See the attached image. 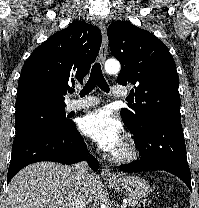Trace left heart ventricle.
<instances>
[{
	"instance_id": "1",
	"label": "left heart ventricle",
	"mask_w": 199,
	"mask_h": 208,
	"mask_svg": "<svg viewBox=\"0 0 199 208\" xmlns=\"http://www.w3.org/2000/svg\"><path fill=\"white\" fill-rule=\"evenodd\" d=\"M123 153L122 143L113 151V154H121Z\"/></svg>"
}]
</instances>
